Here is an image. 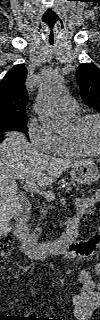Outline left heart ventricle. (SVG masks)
Instances as JSON below:
<instances>
[{
    "mask_svg": "<svg viewBox=\"0 0 100 320\" xmlns=\"http://www.w3.org/2000/svg\"><path fill=\"white\" fill-rule=\"evenodd\" d=\"M74 133L73 127L71 126L67 135ZM78 136L80 140L90 149L97 150L100 146V132L99 126L96 121H88L79 130Z\"/></svg>",
    "mask_w": 100,
    "mask_h": 320,
    "instance_id": "b2bd125f",
    "label": "left heart ventricle"
}]
</instances>
